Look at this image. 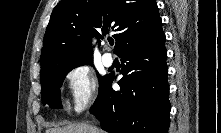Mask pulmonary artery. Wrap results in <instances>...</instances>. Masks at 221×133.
I'll return each mask as SVG.
<instances>
[{
	"instance_id": "pulmonary-artery-1",
	"label": "pulmonary artery",
	"mask_w": 221,
	"mask_h": 133,
	"mask_svg": "<svg viewBox=\"0 0 221 133\" xmlns=\"http://www.w3.org/2000/svg\"><path fill=\"white\" fill-rule=\"evenodd\" d=\"M102 61L106 67H110L114 62V58L110 53L106 52L102 56Z\"/></svg>"
}]
</instances>
